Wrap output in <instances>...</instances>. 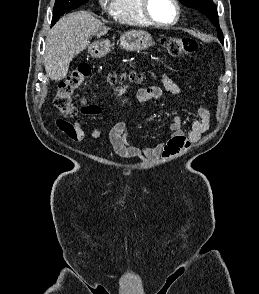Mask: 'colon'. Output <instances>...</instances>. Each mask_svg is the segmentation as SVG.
<instances>
[{"mask_svg": "<svg viewBox=\"0 0 259 294\" xmlns=\"http://www.w3.org/2000/svg\"><path fill=\"white\" fill-rule=\"evenodd\" d=\"M163 47L171 56H180L192 54L198 49V43L192 38L166 37L161 41ZM90 67L83 65L73 70L58 87L54 104L60 113L65 117H75L79 108L73 101L74 92L82 85L83 81L90 75ZM124 79V77H122ZM130 82H140L142 76L137 73H131L127 76ZM111 82H116L117 77H111Z\"/></svg>", "mask_w": 259, "mask_h": 294, "instance_id": "1", "label": "colon"}]
</instances>
